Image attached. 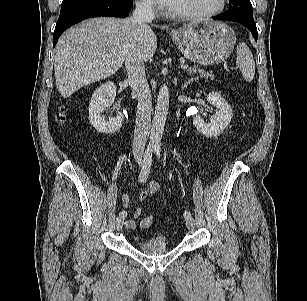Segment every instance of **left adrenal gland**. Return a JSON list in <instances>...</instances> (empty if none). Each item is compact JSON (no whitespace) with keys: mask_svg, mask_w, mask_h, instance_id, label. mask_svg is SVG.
Here are the masks:
<instances>
[{"mask_svg":"<svg viewBox=\"0 0 307 301\" xmlns=\"http://www.w3.org/2000/svg\"><path fill=\"white\" fill-rule=\"evenodd\" d=\"M196 78H191L188 81L185 82L183 87H187L191 82H193Z\"/></svg>","mask_w":307,"mask_h":301,"instance_id":"a2214340","label":"left adrenal gland"}]
</instances>
